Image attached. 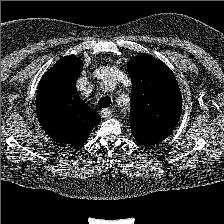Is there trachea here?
Wrapping results in <instances>:
<instances>
[{"instance_id":"trachea-1","label":"trachea","mask_w":224,"mask_h":224,"mask_svg":"<svg viewBox=\"0 0 224 224\" xmlns=\"http://www.w3.org/2000/svg\"><path fill=\"white\" fill-rule=\"evenodd\" d=\"M111 104V99L108 96H105L100 99L99 101V108H107Z\"/></svg>"}]
</instances>
